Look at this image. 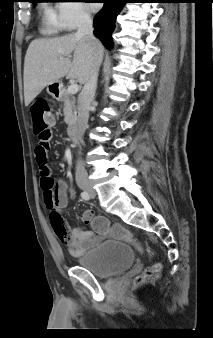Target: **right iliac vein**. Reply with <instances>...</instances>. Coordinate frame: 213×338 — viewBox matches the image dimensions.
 <instances>
[{
	"label": "right iliac vein",
	"mask_w": 213,
	"mask_h": 338,
	"mask_svg": "<svg viewBox=\"0 0 213 338\" xmlns=\"http://www.w3.org/2000/svg\"><path fill=\"white\" fill-rule=\"evenodd\" d=\"M80 188L86 192H91L92 191V186L89 184H81Z\"/></svg>",
	"instance_id": "1"
}]
</instances>
